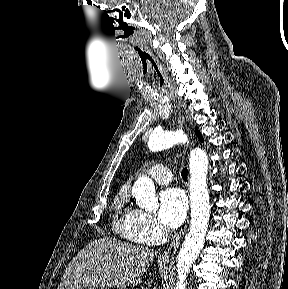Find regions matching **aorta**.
<instances>
[{
  "instance_id": "aorta-1",
  "label": "aorta",
  "mask_w": 288,
  "mask_h": 289,
  "mask_svg": "<svg viewBox=\"0 0 288 289\" xmlns=\"http://www.w3.org/2000/svg\"><path fill=\"white\" fill-rule=\"evenodd\" d=\"M185 141V137L179 131L153 132L149 137L148 146L151 151L156 152ZM189 167L191 223L177 256V284L175 289H186L185 280L203 247L210 218L209 194L206 183L208 158L204 150L195 148L191 151ZM133 194L136 204L140 208L148 211L158 209L159 203L151 179L144 176L140 177L133 186Z\"/></svg>"
}]
</instances>
